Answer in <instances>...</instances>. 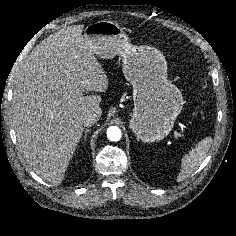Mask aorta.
I'll list each match as a JSON object with an SVG mask.
<instances>
[{
    "label": "aorta",
    "instance_id": "aorta-1",
    "mask_svg": "<svg viewBox=\"0 0 236 236\" xmlns=\"http://www.w3.org/2000/svg\"><path fill=\"white\" fill-rule=\"evenodd\" d=\"M107 137L111 141H119L122 137L121 130L117 126H111L107 129Z\"/></svg>",
    "mask_w": 236,
    "mask_h": 236
}]
</instances>
